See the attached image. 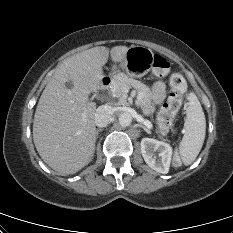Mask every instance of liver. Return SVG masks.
Listing matches in <instances>:
<instances>
[{
  "label": "liver",
  "mask_w": 233,
  "mask_h": 233,
  "mask_svg": "<svg viewBox=\"0 0 233 233\" xmlns=\"http://www.w3.org/2000/svg\"><path fill=\"white\" fill-rule=\"evenodd\" d=\"M127 46L94 47L67 58L46 85L36 108L33 140L43 159L59 175L74 174L88 165L96 142V105L92 91L101 87L109 53L121 62ZM71 81V89L66 82Z\"/></svg>",
  "instance_id": "liver-1"
}]
</instances>
